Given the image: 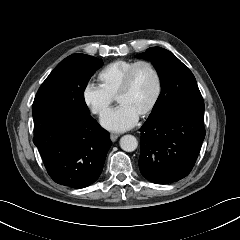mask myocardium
<instances>
[{
    "instance_id": "1",
    "label": "myocardium",
    "mask_w": 240,
    "mask_h": 240,
    "mask_svg": "<svg viewBox=\"0 0 240 240\" xmlns=\"http://www.w3.org/2000/svg\"><path fill=\"white\" fill-rule=\"evenodd\" d=\"M141 65L147 66L152 71V73L154 74L155 79H156L155 95H154L152 101L150 102V104L147 106V108L140 114L141 118H145L153 112V110L155 109V107L157 106V104L160 100V97H161L162 91H163V81H162L161 74H160L159 70L157 69V67L151 61L146 60V59L138 60V61H135L129 67V69L127 70V72L124 76V79H123L121 88L117 94L116 100H117V102H119L120 98L130 91L134 72Z\"/></svg>"
}]
</instances>
